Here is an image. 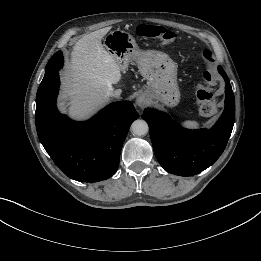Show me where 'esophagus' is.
I'll use <instances>...</instances> for the list:
<instances>
[{
    "instance_id": "obj_1",
    "label": "esophagus",
    "mask_w": 261,
    "mask_h": 261,
    "mask_svg": "<svg viewBox=\"0 0 261 261\" xmlns=\"http://www.w3.org/2000/svg\"><path fill=\"white\" fill-rule=\"evenodd\" d=\"M147 98L146 96L144 95H139L137 98H136V105L143 108L147 105Z\"/></svg>"
}]
</instances>
